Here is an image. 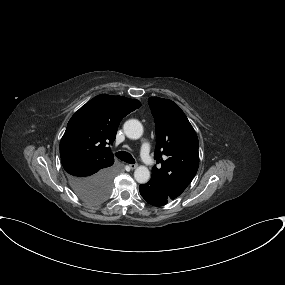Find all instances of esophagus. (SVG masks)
Returning <instances> with one entry per match:
<instances>
[{
    "instance_id": "1",
    "label": "esophagus",
    "mask_w": 285,
    "mask_h": 285,
    "mask_svg": "<svg viewBox=\"0 0 285 285\" xmlns=\"http://www.w3.org/2000/svg\"><path fill=\"white\" fill-rule=\"evenodd\" d=\"M129 167L133 170V169L137 168V164H129Z\"/></svg>"
}]
</instances>
